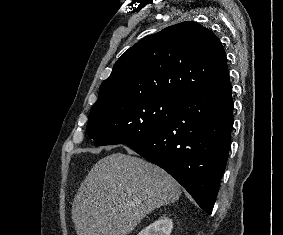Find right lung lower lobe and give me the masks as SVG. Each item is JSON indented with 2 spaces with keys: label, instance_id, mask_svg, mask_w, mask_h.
<instances>
[{
  "label": "right lung lower lobe",
  "instance_id": "98d812e1",
  "mask_svg": "<svg viewBox=\"0 0 283 235\" xmlns=\"http://www.w3.org/2000/svg\"><path fill=\"white\" fill-rule=\"evenodd\" d=\"M229 79L178 100L157 131L126 143L173 176L211 214L226 167L233 127Z\"/></svg>",
  "mask_w": 283,
  "mask_h": 235
}]
</instances>
